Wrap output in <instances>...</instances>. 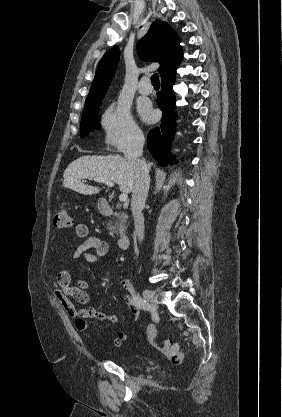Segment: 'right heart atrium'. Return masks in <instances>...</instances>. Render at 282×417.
Instances as JSON below:
<instances>
[{"instance_id":"obj_1","label":"right heart atrium","mask_w":282,"mask_h":417,"mask_svg":"<svg viewBox=\"0 0 282 417\" xmlns=\"http://www.w3.org/2000/svg\"><path fill=\"white\" fill-rule=\"evenodd\" d=\"M106 142L121 152L135 149L141 142V132L130 115L128 108L120 103H113L106 111L103 121Z\"/></svg>"}]
</instances>
